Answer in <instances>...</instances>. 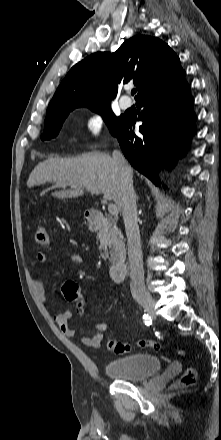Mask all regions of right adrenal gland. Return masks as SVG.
Segmentation results:
<instances>
[{
    "instance_id": "obj_1",
    "label": "right adrenal gland",
    "mask_w": 221,
    "mask_h": 440,
    "mask_svg": "<svg viewBox=\"0 0 221 440\" xmlns=\"http://www.w3.org/2000/svg\"><path fill=\"white\" fill-rule=\"evenodd\" d=\"M135 198H136V200H138V196L136 195V193H135Z\"/></svg>"
}]
</instances>
